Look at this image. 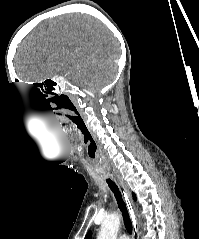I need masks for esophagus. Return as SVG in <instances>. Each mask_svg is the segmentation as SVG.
Listing matches in <instances>:
<instances>
[{"mask_svg": "<svg viewBox=\"0 0 199 239\" xmlns=\"http://www.w3.org/2000/svg\"><path fill=\"white\" fill-rule=\"evenodd\" d=\"M114 180L119 185V187L123 193L130 217L132 219L133 239H135L138 234V227H137V222L135 219V205H134L130 190L120 176H118V175L114 176Z\"/></svg>", "mask_w": 199, "mask_h": 239, "instance_id": "obj_1", "label": "esophagus"}]
</instances>
